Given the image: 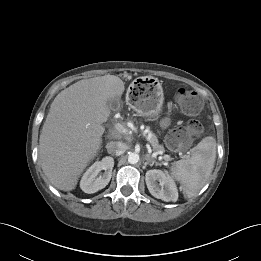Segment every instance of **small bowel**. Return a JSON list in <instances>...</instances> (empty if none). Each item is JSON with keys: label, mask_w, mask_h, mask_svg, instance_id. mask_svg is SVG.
<instances>
[{"label": "small bowel", "mask_w": 261, "mask_h": 261, "mask_svg": "<svg viewBox=\"0 0 261 261\" xmlns=\"http://www.w3.org/2000/svg\"><path fill=\"white\" fill-rule=\"evenodd\" d=\"M163 125H164V126H167V125H168V120H167V119H165V120L163 121Z\"/></svg>", "instance_id": "1"}]
</instances>
